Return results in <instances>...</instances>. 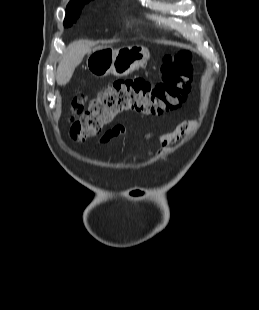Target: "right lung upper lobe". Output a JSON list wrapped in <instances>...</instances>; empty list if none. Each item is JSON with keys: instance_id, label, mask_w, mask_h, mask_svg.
<instances>
[{"instance_id": "obj_1", "label": "right lung upper lobe", "mask_w": 259, "mask_h": 310, "mask_svg": "<svg viewBox=\"0 0 259 310\" xmlns=\"http://www.w3.org/2000/svg\"><path fill=\"white\" fill-rule=\"evenodd\" d=\"M85 1H90V0H71L69 4L67 5V9H72L76 7L77 5H79L80 3L85 2Z\"/></svg>"}]
</instances>
